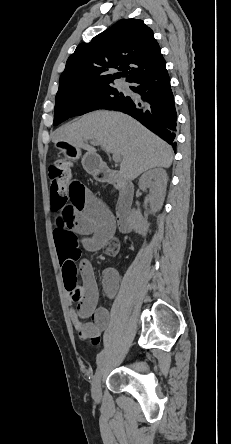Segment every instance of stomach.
Wrapping results in <instances>:
<instances>
[{
	"instance_id": "obj_1",
	"label": "stomach",
	"mask_w": 231,
	"mask_h": 444,
	"mask_svg": "<svg viewBox=\"0 0 231 444\" xmlns=\"http://www.w3.org/2000/svg\"><path fill=\"white\" fill-rule=\"evenodd\" d=\"M55 145L60 149L65 160L74 161L80 157V149L66 141H58ZM82 164L90 174H97L103 166L101 159L97 155L89 153L84 155Z\"/></svg>"
}]
</instances>
